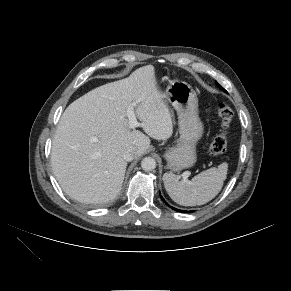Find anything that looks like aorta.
I'll use <instances>...</instances> for the list:
<instances>
[{
  "mask_svg": "<svg viewBox=\"0 0 291 291\" xmlns=\"http://www.w3.org/2000/svg\"><path fill=\"white\" fill-rule=\"evenodd\" d=\"M141 167L145 171H151L156 168V161L152 157H145L141 161Z\"/></svg>",
  "mask_w": 291,
  "mask_h": 291,
  "instance_id": "aorta-1",
  "label": "aorta"
}]
</instances>
